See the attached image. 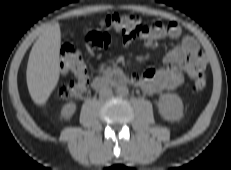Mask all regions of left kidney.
I'll list each match as a JSON object with an SVG mask.
<instances>
[{"mask_svg": "<svg viewBox=\"0 0 231 170\" xmlns=\"http://www.w3.org/2000/svg\"><path fill=\"white\" fill-rule=\"evenodd\" d=\"M161 116L168 121H179L183 117V102L176 94H163L158 101Z\"/></svg>", "mask_w": 231, "mask_h": 170, "instance_id": "obj_1", "label": "left kidney"}]
</instances>
